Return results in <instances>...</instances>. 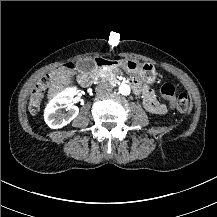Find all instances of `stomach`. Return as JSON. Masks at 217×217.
<instances>
[{"mask_svg": "<svg viewBox=\"0 0 217 217\" xmlns=\"http://www.w3.org/2000/svg\"><path fill=\"white\" fill-rule=\"evenodd\" d=\"M120 67L128 74L136 75L147 84H153L156 80V69L154 64L149 62L140 63L134 59H124Z\"/></svg>", "mask_w": 217, "mask_h": 217, "instance_id": "obj_1", "label": "stomach"}]
</instances>
